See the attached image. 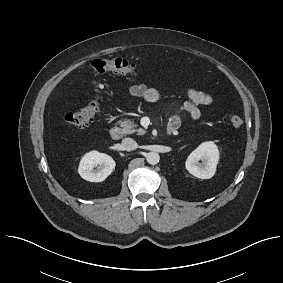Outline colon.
Returning a JSON list of instances; mask_svg holds the SVG:
<instances>
[{"instance_id": "colon-1", "label": "colon", "mask_w": 283, "mask_h": 283, "mask_svg": "<svg viewBox=\"0 0 283 283\" xmlns=\"http://www.w3.org/2000/svg\"><path fill=\"white\" fill-rule=\"evenodd\" d=\"M93 70L96 73L114 72L118 74H134L136 67L132 62L122 58L111 59H99L95 60L91 64ZM97 88H100V84L96 83ZM99 112V96H95L93 100L88 102L80 110L76 112H69L64 116V120L67 124L75 127H84L91 121ZM232 126L238 128L243 124V120L240 116L232 114L229 117Z\"/></svg>"}]
</instances>
